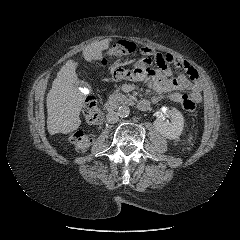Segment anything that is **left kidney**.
<instances>
[{
    "instance_id": "obj_1",
    "label": "left kidney",
    "mask_w": 240,
    "mask_h": 240,
    "mask_svg": "<svg viewBox=\"0 0 240 240\" xmlns=\"http://www.w3.org/2000/svg\"><path fill=\"white\" fill-rule=\"evenodd\" d=\"M165 117L170 118V122L165 121ZM156 130L167 139L178 138L184 127L182 113L174 107H162L154 121Z\"/></svg>"
}]
</instances>
